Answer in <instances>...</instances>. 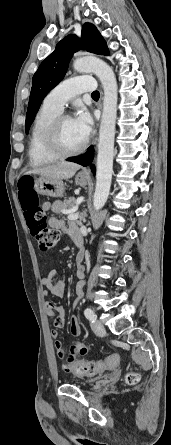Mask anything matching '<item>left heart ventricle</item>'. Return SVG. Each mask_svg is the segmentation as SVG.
Returning a JSON list of instances; mask_svg holds the SVG:
<instances>
[{"mask_svg": "<svg viewBox=\"0 0 171 445\" xmlns=\"http://www.w3.org/2000/svg\"><path fill=\"white\" fill-rule=\"evenodd\" d=\"M85 139L73 119H67L63 122L60 129V140L64 148H77Z\"/></svg>", "mask_w": 171, "mask_h": 445, "instance_id": "1", "label": "left heart ventricle"}]
</instances>
